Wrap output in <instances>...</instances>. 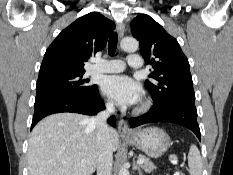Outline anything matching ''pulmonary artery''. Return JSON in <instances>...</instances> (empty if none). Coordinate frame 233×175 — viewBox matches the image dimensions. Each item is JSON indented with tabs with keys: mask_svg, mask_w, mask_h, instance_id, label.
Instances as JSON below:
<instances>
[{
	"mask_svg": "<svg viewBox=\"0 0 233 175\" xmlns=\"http://www.w3.org/2000/svg\"><path fill=\"white\" fill-rule=\"evenodd\" d=\"M129 67L138 69L142 67V59L138 54H132L128 57ZM124 69V62L121 60L97 59L96 63L89 69L90 73H116Z\"/></svg>",
	"mask_w": 233,
	"mask_h": 175,
	"instance_id": "pulmonary-artery-1",
	"label": "pulmonary artery"
}]
</instances>
